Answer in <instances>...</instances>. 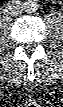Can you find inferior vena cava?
Here are the masks:
<instances>
[{"mask_svg": "<svg viewBox=\"0 0 63 107\" xmlns=\"http://www.w3.org/2000/svg\"><path fill=\"white\" fill-rule=\"evenodd\" d=\"M6 11L11 16H18L23 11V6L20 1L12 0L6 4Z\"/></svg>", "mask_w": 63, "mask_h": 107, "instance_id": "inferior-vena-cava-1", "label": "inferior vena cava"}]
</instances>
